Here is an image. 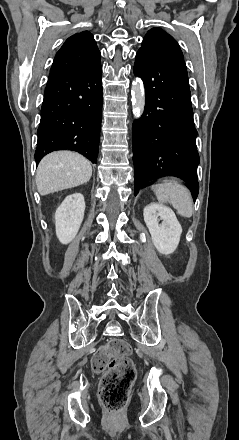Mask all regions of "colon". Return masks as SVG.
Listing matches in <instances>:
<instances>
[{"label": "colon", "mask_w": 239, "mask_h": 440, "mask_svg": "<svg viewBox=\"0 0 239 440\" xmlns=\"http://www.w3.org/2000/svg\"><path fill=\"white\" fill-rule=\"evenodd\" d=\"M130 345L114 339L93 357V369L102 373L99 385L100 400L109 411H119L127 403L130 388L136 378V368L130 358Z\"/></svg>", "instance_id": "5ec220e1"}]
</instances>
